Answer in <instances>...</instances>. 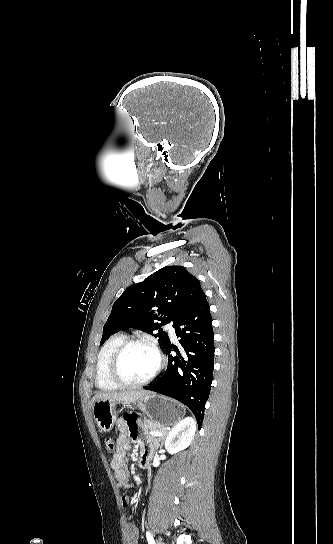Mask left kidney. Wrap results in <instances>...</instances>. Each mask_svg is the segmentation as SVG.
<instances>
[{"mask_svg": "<svg viewBox=\"0 0 333 544\" xmlns=\"http://www.w3.org/2000/svg\"><path fill=\"white\" fill-rule=\"evenodd\" d=\"M195 431L194 419L191 417L183 419L168 433L165 440L166 450L170 454H175L186 449L191 444Z\"/></svg>", "mask_w": 333, "mask_h": 544, "instance_id": "obj_1", "label": "left kidney"}]
</instances>
